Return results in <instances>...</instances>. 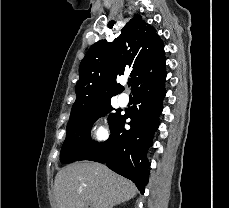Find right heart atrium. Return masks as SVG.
<instances>
[{
    "instance_id": "d8ad5b80",
    "label": "right heart atrium",
    "mask_w": 229,
    "mask_h": 208,
    "mask_svg": "<svg viewBox=\"0 0 229 208\" xmlns=\"http://www.w3.org/2000/svg\"><path fill=\"white\" fill-rule=\"evenodd\" d=\"M91 137L99 142H103L109 137V123L105 116L96 117L90 129Z\"/></svg>"
}]
</instances>
